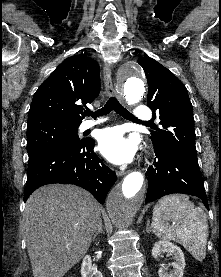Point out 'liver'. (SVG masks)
Instances as JSON below:
<instances>
[{
    "label": "liver",
    "mask_w": 221,
    "mask_h": 277,
    "mask_svg": "<svg viewBox=\"0 0 221 277\" xmlns=\"http://www.w3.org/2000/svg\"><path fill=\"white\" fill-rule=\"evenodd\" d=\"M101 206L74 185H49L28 198L23 227L34 277H63L88 251Z\"/></svg>",
    "instance_id": "6515ba94"
}]
</instances>
